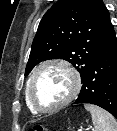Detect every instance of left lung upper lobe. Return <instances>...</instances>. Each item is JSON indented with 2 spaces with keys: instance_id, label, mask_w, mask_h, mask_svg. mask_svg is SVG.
<instances>
[{
  "instance_id": "1",
  "label": "left lung upper lobe",
  "mask_w": 117,
  "mask_h": 131,
  "mask_svg": "<svg viewBox=\"0 0 117 131\" xmlns=\"http://www.w3.org/2000/svg\"><path fill=\"white\" fill-rule=\"evenodd\" d=\"M111 29L102 0H58L39 24L25 75L42 61L60 58L70 62L82 80L107 45Z\"/></svg>"
}]
</instances>
